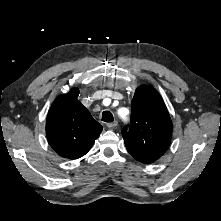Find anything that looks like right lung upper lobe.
<instances>
[{"label":"right lung upper lobe","instance_id":"1","mask_svg":"<svg viewBox=\"0 0 221 221\" xmlns=\"http://www.w3.org/2000/svg\"><path fill=\"white\" fill-rule=\"evenodd\" d=\"M78 88L58 96L47 115L46 134L51 147L62 157L85 155L99 137L102 126L77 99Z\"/></svg>","mask_w":221,"mask_h":221}]
</instances>
